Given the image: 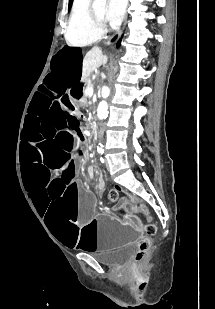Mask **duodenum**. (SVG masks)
<instances>
[{"label":"duodenum","mask_w":215,"mask_h":309,"mask_svg":"<svg viewBox=\"0 0 215 309\" xmlns=\"http://www.w3.org/2000/svg\"><path fill=\"white\" fill-rule=\"evenodd\" d=\"M91 128H92V132L97 137L98 134H99V127H98L97 120H95V119L91 120Z\"/></svg>","instance_id":"duodenum-1"}]
</instances>
